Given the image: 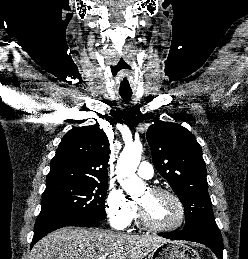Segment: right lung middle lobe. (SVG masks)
I'll list each match as a JSON object with an SVG mask.
<instances>
[{
  "label": "right lung middle lobe",
  "instance_id": "dd1d6c3e",
  "mask_svg": "<svg viewBox=\"0 0 248 259\" xmlns=\"http://www.w3.org/2000/svg\"><path fill=\"white\" fill-rule=\"evenodd\" d=\"M108 182H58L46 184L39 216L61 215L84 222L106 218Z\"/></svg>",
  "mask_w": 248,
  "mask_h": 259
}]
</instances>
